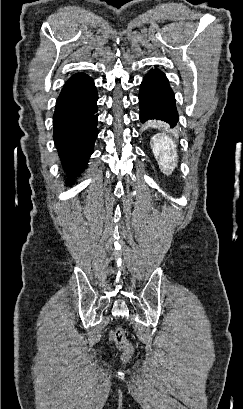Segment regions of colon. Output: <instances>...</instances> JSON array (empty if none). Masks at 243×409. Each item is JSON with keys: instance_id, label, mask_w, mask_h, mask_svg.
<instances>
[{"instance_id": "colon-1", "label": "colon", "mask_w": 243, "mask_h": 409, "mask_svg": "<svg viewBox=\"0 0 243 409\" xmlns=\"http://www.w3.org/2000/svg\"><path fill=\"white\" fill-rule=\"evenodd\" d=\"M114 339L118 347L122 350L124 360H128L133 354V346L127 340L123 330L118 328L114 333Z\"/></svg>"}]
</instances>
